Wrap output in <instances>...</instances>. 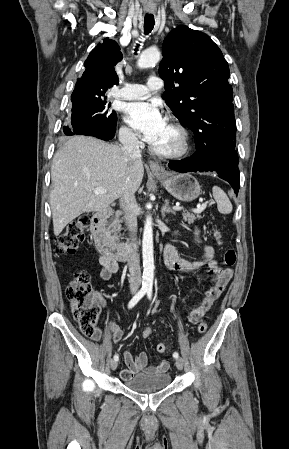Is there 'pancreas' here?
<instances>
[{"label": "pancreas", "instance_id": "pancreas-1", "mask_svg": "<svg viewBox=\"0 0 289 449\" xmlns=\"http://www.w3.org/2000/svg\"><path fill=\"white\" fill-rule=\"evenodd\" d=\"M183 219L185 221H187L189 224L194 223V221L198 218L200 219L201 216L197 213V214H193L187 211H184L182 213ZM120 220H119V214H117L114 218H112L110 220V222L107 225V232L108 234L112 235V238L116 241L119 240L118 234L120 233V229H121V225H120Z\"/></svg>", "mask_w": 289, "mask_h": 449}]
</instances>
